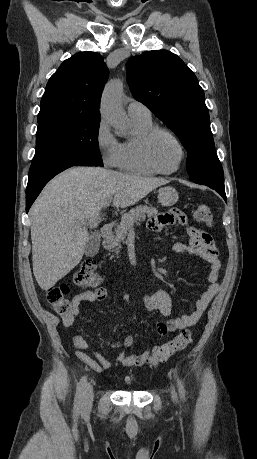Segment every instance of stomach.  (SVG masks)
<instances>
[{
    "label": "stomach",
    "instance_id": "obj_1",
    "mask_svg": "<svg viewBox=\"0 0 257 459\" xmlns=\"http://www.w3.org/2000/svg\"><path fill=\"white\" fill-rule=\"evenodd\" d=\"M178 192L171 186L160 188L158 191L159 202L163 205H174L178 201Z\"/></svg>",
    "mask_w": 257,
    "mask_h": 459
}]
</instances>
